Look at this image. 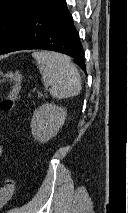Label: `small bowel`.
<instances>
[{
  "label": "small bowel",
  "instance_id": "obj_1",
  "mask_svg": "<svg viewBox=\"0 0 128 213\" xmlns=\"http://www.w3.org/2000/svg\"><path fill=\"white\" fill-rule=\"evenodd\" d=\"M2 155V146L0 145V156Z\"/></svg>",
  "mask_w": 128,
  "mask_h": 213
}]
</instances>
